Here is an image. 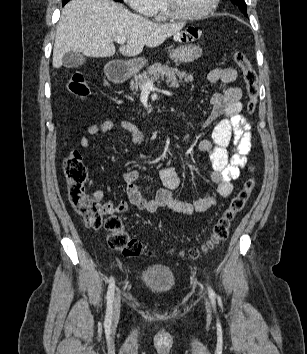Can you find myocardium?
<instances>
[{"mask_svg": "<svg viewBox=\"0 0 307 354\" xmlns=\"http://www.w3.org/2000/svg\"><path fill=\"white\" fill-rule=\"evenodd\" d=\"M220 0H212L210 5L205 9L204 11L197 13V14H186L181 12L175 5L173 0H163V5L164 8L169 15L170 18L176 19V20H187V21H193V20H201L204 19L211 14H213L216 9L218 8Z\"/></svg>", "mask_w": 307, "mask_h": 354, "instance_id": "f54148a6", "label": "myocardium"}]
</instances>
